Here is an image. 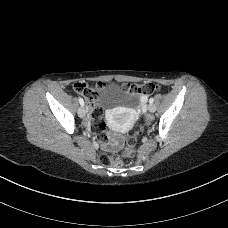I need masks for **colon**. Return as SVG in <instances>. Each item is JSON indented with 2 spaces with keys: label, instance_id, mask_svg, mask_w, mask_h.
I'll return each instance as SVG.
<instances>
[{
  "label": "colon",
  "instance_id": "obj_1",
  "mask_svg": "<svg viewBox=\"0 0 228 228\" xmlns=\"http://www.w3.org/2000/svg\"><path fill=\"white\" fill-rule=\"evenodd\" d=\"M126 88L137 95L148 96L156 92L159 87L154 83H145L143 85H126ZM74 90L83 95L88 106L91 119V129L98 135L102 136L105 130V122L103 119V111L96 102L97 90L89 88L85 83L78 82L74 85ZM148 124V120L139 127V129L127 140L126 146L120 153H102L100 159L104 164L119 165L122 162L123 157H132L135 153L140 136L143 130Z\"/></svg>",
  "mask_w": 228,
  "mask_h": 228
}]
</instances>
